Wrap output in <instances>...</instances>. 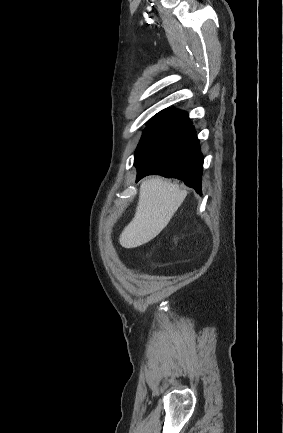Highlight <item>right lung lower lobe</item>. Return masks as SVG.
Returning a JSON list of instances; mask_svg holds the SVG:
<instances>
[{"mask_svg":"<svg viewBox=\"0 0 283 433\" xmlns=\"http://www.w3.org/2000/svg\"><path fill=\"white\" fill-rule=\"evenodd\" d=\"M137 179L177 178L201 193L203 156L187 113L170 110L148 124L135 151Z\"/></svg>","mask_w":283,"mask_h":433,"instance_id":"98d812e1","label":"right lung lower lobe"}]
</instances>
